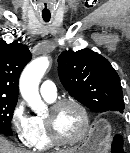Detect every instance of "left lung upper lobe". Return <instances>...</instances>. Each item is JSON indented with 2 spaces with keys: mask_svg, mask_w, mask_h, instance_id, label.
Masks as SVG:
<instances>
[{
  "mask_svg": "<svg viewBox=\"0 0 130 153\" xmlns=\"http://www.w3.org/2000/svg\"><path fill=\"white\" fill-rule=\"evenodd\" d=\"M64 88L94 112L124 110L122 87L109 61L91 49L64 51L58 57Z\"/></svg>",
  "mask_w": 130,
  "mask_h": 153,
  "instance_id": "1",
  "label": "left lung upper lobe"
}]
</instances>
